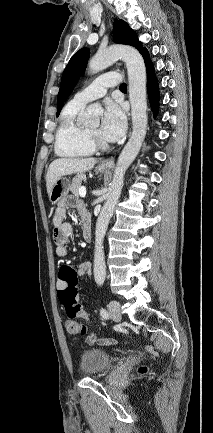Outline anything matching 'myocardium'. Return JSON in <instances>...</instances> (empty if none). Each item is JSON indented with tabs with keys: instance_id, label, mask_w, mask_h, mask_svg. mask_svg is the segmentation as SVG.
<instances>
[{
	"instance_id": "1",
	"label": "myocardium",
	"mask_w": 213,
	"mask_h": 433,
	"mask_svg": "<svg viewBox=\"0 0 213 433\" xmlns=\"http://www.w3.org/2000/svg\"><path fill=\"white\" fill-rule=\"evenodd\" d=\"M86 134L89 142L95 149L105 150L109 147L108 143L104 139L100 138L89 130H86Z\"/></svg>"
}]
</instances>
